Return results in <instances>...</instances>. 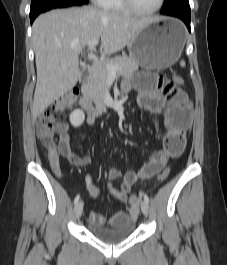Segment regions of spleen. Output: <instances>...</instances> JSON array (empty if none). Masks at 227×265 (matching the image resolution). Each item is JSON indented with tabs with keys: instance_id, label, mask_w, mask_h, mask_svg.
<instances>
[{
	"instance_id": "3e777b00",
	"label": "spleen",
	"mask_w": 227,
	"mask_h": 265,
	"mask_svg": "<svg viewBox=\"0 0 227 265\" xmlns=\"http://www.w3.org/2000/svg\"><path fill=\"white\" fill-rule=\"evenodd\" d=\"M180 65H181V67H185V62L182 60V61L180 62Z\"/></svg>"
}]
</instances>
